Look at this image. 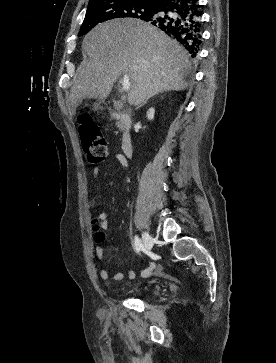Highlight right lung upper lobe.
<instances>
[{
	"label": "right lung upper lobe",
	"mask_w": 276,
	"mask_h": 363,
	"mask_svg": "<svg viewBox=\"0 0 276 363\" xmlns=\"http://www.w3.org/2000/svg\"><path fill=\"white\" fill-rule=\"evenodd\" d=\"M97 1H101V0H90L89 4L97 2ZM133 1H141V2L148 3L154 7H158L164 0H133Z\"/></svg>",
	"instance_id": "right-lung-upper-lobe-1"
}]
</instances>
